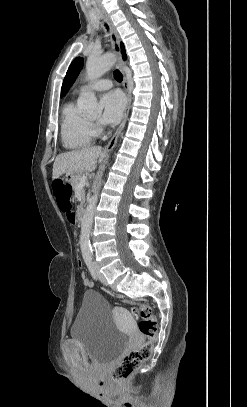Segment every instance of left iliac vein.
Returning <instances> with one entry per match:
<instances>
[{
  "label": "left iliac vein",
  "instance_id": "1",
  "mask_svg": "<svg viewBox=\"0 0 247 407\" xmlns=\"http://www.w3.org/2000/svg\"><path fill=\"white\" fill-rule=\"evenodd\" d=\"M93 266H94V268H95V271H96V273H97V276H98V278H99V280L103 283V284H107V280H106V278L104 277V275L100 272V270H99V267H98V264L96 263V262H94L93 263Z\"/></svg>",
  "mask_w": 247,
  "mask_h": 407
}]
</instances>
